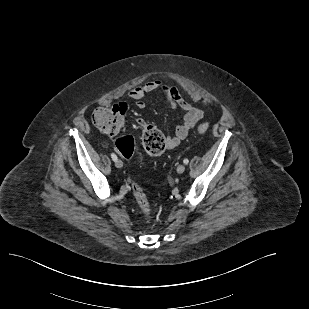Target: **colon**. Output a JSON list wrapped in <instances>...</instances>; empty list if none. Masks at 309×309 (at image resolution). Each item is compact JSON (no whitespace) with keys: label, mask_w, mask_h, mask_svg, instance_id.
I'll list each match as a JSON object with an SVG mask.
<instances>
[{"label":"colon","mask_w":309,"mask_h":309,"mask_svg":"<svg viewBox=\"0 0 309 309\" xmlns=\"http://www.w3.org/2000/svg\"><path fill=\"white\" fill-rule=\"evenodd\" d=\"M92 120L95 126L104 134L118 136L115 146L118 153L125 159H131L134 150V138L125 133L126 107L115 105L113 107H99L94 110ZM208 124H201L198 132L205 133ZM142 144L145 151L151 155H159L166 148V138L162 131L155 125L143 127ZM132 191L141 213L149 217L151 209L144 190L137 182H133Z\"/></svg>","instance_id":"obj_1"}]
</instances>
